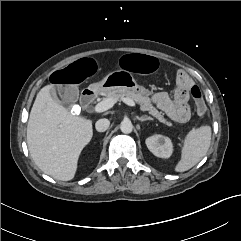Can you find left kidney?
<instances>
[{
  "label": "left kidney",
  "instance_id": "1",
  "mask_svg": "<svg viewBox=\"0 0 241 241\" xmlns=\"http://www.w3.org/2000/svg\"><path fill=\"white\" fill-rule=\"evenodd\" d=\"M148 149L159 158H169L173 151L171 140L163 135H153L146 139Z\"/></svg>",
  "mask_w": 241,
  "mask_h": 241
}]
</instances>
